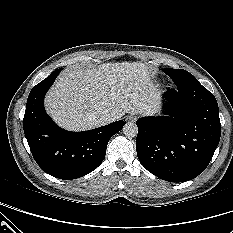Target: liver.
Instances as JSON below:
<instances>
[{"label": "liver", "instance_id": "1", "mask_svg": "<svg viewBox=\"0 0 233 233\" xmlns=\"http://www.w3.org/2000/svg\"><path fill=\"white\" fill-rule=\"evenodd\" d=\"M160 100L145 64L121 62L67 70L48 92L45 105L61 127L84 131L102 126L97 119L104 114L112 121L125 113L154 115Z\"/></svg>", "mask_w": 233, "mask_h": 233}]
</instances>
